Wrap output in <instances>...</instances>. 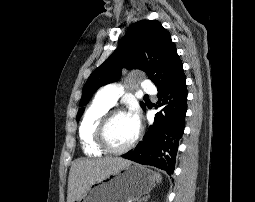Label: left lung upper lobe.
Here are the masks:
<instances>
[{
	"label": "left lung upper lobe",
	"instance_id": "1",
	"mask_svg": "<svg viewBox=\"0 0 255 202\" xmlns=\"http://www.w3.org/2000/svg\"><path fill=\"white\" fill-rule=\"evenodd\" d=\"M123 67L145 71L158 90L166 88L183 72L168 31L157 20H141L129 27L118 48L90 75L79 106L86 105L99 87L117 81ZM140 105L145 109L144 103ZM83 111L84 108L78 111L77 119Z\"/></svg>",
	"mask_w": 255,
	"mask_h": 202
}]
</instances>
